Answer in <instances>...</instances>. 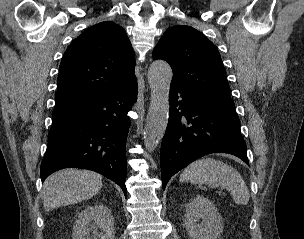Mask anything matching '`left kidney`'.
Returning a JSON list of instances; mask_svg holds the SVG:
<instances>
[{
  "label": "left kidney",
  "instance_id": "5707ae66",
  "mask_svg": "<svg viewBox=\"0 0 304 239\" xmlns=\"http://www.w3.org/2000/svg\"><path fill=\"white\" fill-rule=\"evenodd\" d=\"M184 222L190 239H219L223 232L221 215L203 196H196L187 204Z\"/></svg>",
  "mask_w": 304,
  "mask_h": 239
}]
</instances>
